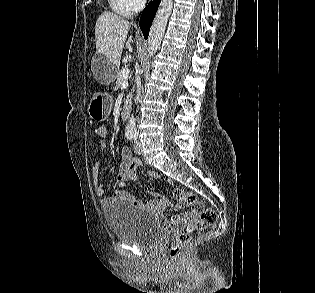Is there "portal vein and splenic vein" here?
I'll use <instances>...</instances> for the list:
<instances>
[{
    "instance_id": "obj_1",
    "label": "portal vein and splenic vein",
    "mask_w": 315,
    "mask_h": 293,
    "mask_svg": "<svg viewBox=\"0 0 315 293\" xmlns=\"http://www.w3.org/2000/svg\"><path fill=\"white\" fill-rule=\"evenodd\" d=\"M130 74V69L125 67L122 69V72H121V75L124 77V78H127Z\"/></svg>"
}]
</instances>
